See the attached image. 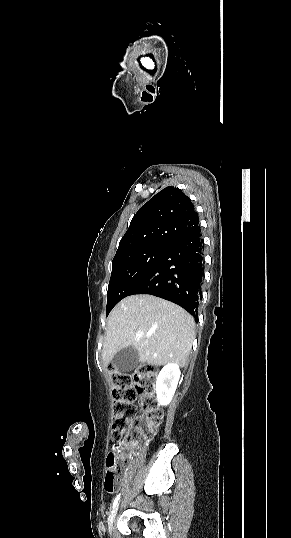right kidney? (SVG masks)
<instances>
[{"label":"right kidney","instance_id":"right-kidney-1","mask_svg":"<svg viewBox=\"0 0 291 538\" xmlns=\"http://www.w3.org/2000/svg\"><path fill=\"white\" fill-rule=\"evenodd\" d=\"M180 368L177 363H168L160 371L156 381L158 404L167 406L175 393L180 378Z\"/></svg>","mask_w":291,"mask_h":538}]
</instances>
